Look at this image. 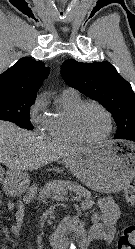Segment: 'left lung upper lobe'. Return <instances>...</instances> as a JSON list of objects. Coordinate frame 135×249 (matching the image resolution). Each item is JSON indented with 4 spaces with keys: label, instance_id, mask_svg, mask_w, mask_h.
Segmentation results:
<instances>
[{
    "label": "left lung upper lobe",
    "instance_id": "5c2ea615",
    "mask_svg": "<svg viewBox=\"0 0 135 249\" xmlns=\"http://www.w3.org/2000/svg\"><path fill=\"white\" fill-rule=\"evenodd\" d=\"M65 83L100 102L117 124L114 138L135 136V94L131 85L108 62L82 63L67 60L62 64Z\"/></svg>",
    "mask_w": 135,
    "mask_h": 249
}]
</instances>
